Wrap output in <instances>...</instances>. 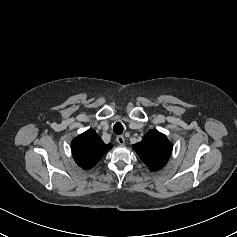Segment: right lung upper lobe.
I'll return each instance as SVG.
<instances>
[{"label": "right lung upper lobe", "instance_id": "obj_1", "mask_svg": "<svg viewBox=\"0 0 237 237\" xmlns=\"http://www.w3.org/2000/svg\"><path fill=\"white\" fill-rule=\"evenodd\" d=\"M112 147V144H105L93 129L74 138L71 143L75 162L85 170L95 166Z\"/></svg>", "mask_w": 237, "mask_h": 237}]
</instances>
